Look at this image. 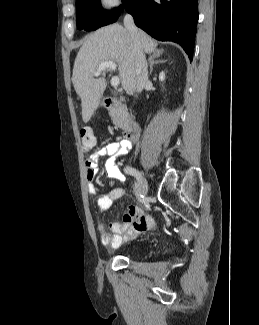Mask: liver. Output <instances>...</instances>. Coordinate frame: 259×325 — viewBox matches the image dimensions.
<instances>
[{
	"instance_id": "obj_1",
	"label": "liver",
	"mask_w": 259,
	"mask_h": 325,
	"mask_svg": "<svg viewBox=\"0 0 259 325\" xmlns=\"http://www.w3.org/2000/svg\"><path fill=\"white\" fill-rule=\"evenodd\" d=\"M139 41L146 53H153L157 42L139 30ZM113 61L118 66L122 87L133 95L136 89V75L133 67V42L126 28L119 24L102 27L86 37L73 67L72 82L81 98L82 119L87 123L100 104L106 89L104 77L94 79L100 64Z\"/></svg>"
}]
</instances>
